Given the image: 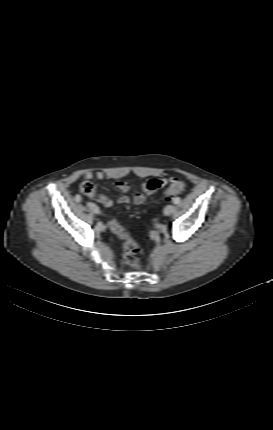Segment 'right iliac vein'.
<instances>
[{
  "mask_svg": "<svg viewBox=\"0 0 273 430\" xmlns=\"http://www.w3.org/2000/svg\"><path fill=\"white\" fill-rule=\"evenodd\" d=\"M89 208H90V210H91L93 213H95V214H100V208H99L96 204L91 203V205L89 206Z\"/></svg>",
  "mask_w": 273,
  "mask_h": 430,
  "instance_id": "63e3f726",
  "label": "right iliac vein"
}]
</instances>
